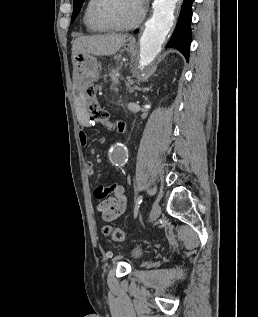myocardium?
Instances as JSON below:
<instances>
[{"mask_svg": "<svg viewBox=\"0 0 258 317\" xmlns=\"http://www.w3.org/2000/svg\"><path fill=\"white\" fill-rule=\"evenodd\" d=\"M119 1H129L131 3H133L137 9H138V17L136 22L134 23V25H132L131 27H118L108 21H106L102 16H101V9L109 4V3H113V2H119ZM145 15V11L143 6L141 5V3L138 0H97V2L95 3L93 10H92V17L93 20L101 27L108 29V30H112V31H116V32H129V31H133L134 29H136L142 22L143 18Z\"/></svg>", "mask_w": 258, "mask_h": 317, "instance_id": "myocardium-1", "label": "myocardium"}]
</instances>
